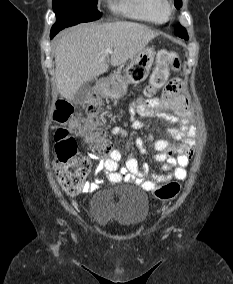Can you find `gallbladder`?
Wrapping results in <instances>:
<instances>
[{
	"mask_svg": "<svg viewBox=\"0 0 233 284\" xmlns=\"http://www.w3.org/2000/svg\"><path fill=\"white\" fill-rule=\"evenodd\" d=\"M91 93V85L89 82H85L81 85L79 90L76 92L72 98L74 104H83L86 102Z\"/></svg>",
	"mask_w": 233,
	"mask_h": 284,
	"instance_id": "gallbladder-1",
	"label": "gallbladder"
}]
</instances>
